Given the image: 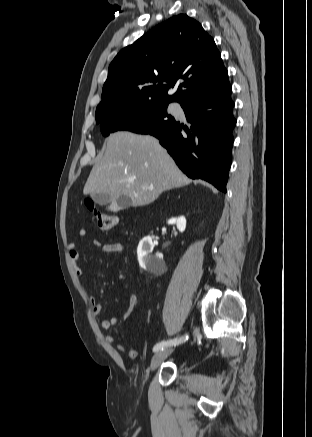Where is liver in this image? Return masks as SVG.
<instances>
[{
    "label": "liver",
    "instance_id": "liver-1",
    "mask_svg": "<svg viewBox=\"0 0 312 437\" xmlns=\"http://www.w3.org/2000/svg\"><path fill=\"white\" fill-rule=\"evenodd\" d=\"M190 182L156 138L116 132L106 139L105 154L93 166L83 193H107L113 204L126 197L133 207H138Z\"/></svg>",
    "mask_w": 312,
    "mask_h": 437
}]
</instances>
